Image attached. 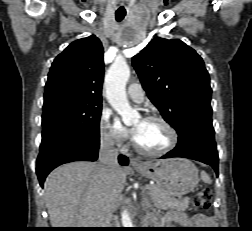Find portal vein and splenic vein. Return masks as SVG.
<instances>
[{"label":"portal vein and splenic vein","instance_id":"obj_1","mask_svg":"<svg viewBox=\"0 0 252 231\" xmlns=\"http://www.w3.org/2000/svg\"><path fill=\"white\" fill-rule=\"evenodd\" d=\"M145 188H146V189H148V190H150V189H151V187H150V186H148V185H147Z\"/></svg>","mask_w":252,"mask_h":231}]
</instances>
